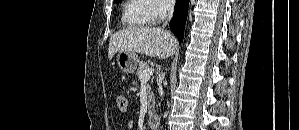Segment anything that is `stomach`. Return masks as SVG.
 <instances>
[{
  "instance_id": "1",
  "label": "stomach",
  "mask_w": 299,
  "mask_h": 130,
  "mask_svg": "<svg viewBox=\"0 0 299 130\" xmlns=\"http://www.w3.org/2000/svg\"><path fill=\"white\" fill-rule=\"evenodd\" d=\"M117 64L125 73H133L139 64V57L135 52L122 51L117 55Z\"/></svg>"
}]
</instances>
